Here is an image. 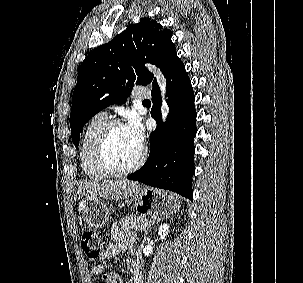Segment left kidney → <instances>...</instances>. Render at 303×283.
<instances>
[{
  "mask_svg": "<svg viewBox=\"0 0 303 283\" xmlns=\"http://www.w3.org/2000/svg\"><path fill=\"white\" fill-rule=\"evenodd\" d=\"M168 232H169V225L166 223L161 224V226L159 227V230H158L160 239L161 240L165 239L166 235H168Z\"/></svg>",
  "mask_w": 303,
  "mask_h": 283,
  "instance_id": "obj_1",
  "label": "left kidney"
}]
</instances>
